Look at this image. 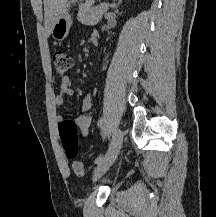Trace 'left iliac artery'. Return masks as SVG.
Instances as JSON below:
<instances>
[{
	"label": "left iliac artery",
	"mask_w": 216,
	"mask_h": 217,
	"mask_svg": "<svg viewBox=\"0 0 216 217\" xmlns=\"http://www.w3.org/2000/svg\"><path fill=\"white\" fill-rule=\"evenodd\" d=\"M99 127H100V129H101V131H102L103 136L106 137V136H107V133H106L105 127H104V125H103V119H102V118H101L100 121H99ZM105 156H106V155H105ZM105 156L100 155L99 157H97V158L95 159V164H100V163L104 160Z\"/></svg>",
	"instance_id": "obj_1"
}]
</instances>
